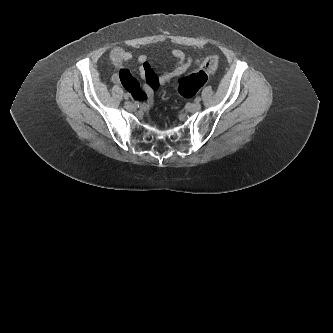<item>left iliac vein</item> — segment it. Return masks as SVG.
<instances>
[{
	"instance_id": "obj_1",
	"label": "left iliac vein",
	"mask_w": 333,
	"mask_h": 333,
	"mask_svg": "<svg viewBox=\"0 0 333 333\" xmlns=\"http://www.w3.org/2000/svg\"><path fill=\"white\" fill-rule=\"evenodd\" d=\"M201 109V104L199 102H195L189 106V111L195 113Z\"/></svg>"
}]
</instances>
